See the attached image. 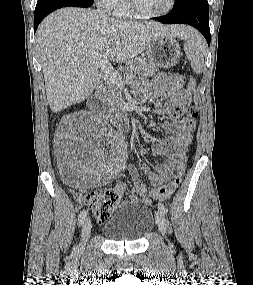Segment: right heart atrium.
I'll return each mask as SVG.
<instances>
[{
    "label": "right heart atrium",
    "instance_id": "d8ad5b80",
    "mask_svg": "<svg viewBox=\"0 0 253 285\" xmlns=\"http://www.w3.org/2000/svg\"><path fill=\"white\" fill-rule=\"evenodd\" d=\"M97 5L104 10H113L118 0H95Z\"/></svg>",
    "mask_w": 253,
    "mask_h": 285
}]
</instances>
